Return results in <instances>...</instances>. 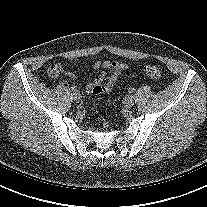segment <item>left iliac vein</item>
Masks as SVG:
<instances>
[{
  "mask_svg": "<svg viewBox=\"0 0 207 207\" xmlns=\"http://www.w3.org/2000/svg\"><path fill=\"white\" fill-rule=\"evenodd\" d=\"M124 104L127 108H130L134 105V97L133 96H128L124 100Z\"/></svg>",
  "mask_w": 207,
  "mask_h": 207,
  "instance_id": "left-iliac-vein-1",
  "label": "left iliac vein"
}]
</instances>
